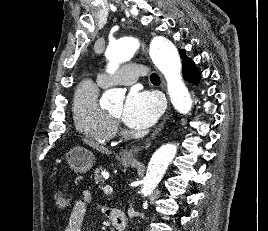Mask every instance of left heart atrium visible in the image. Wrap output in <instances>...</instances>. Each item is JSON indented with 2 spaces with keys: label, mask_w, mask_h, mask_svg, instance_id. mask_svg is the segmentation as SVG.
<instances>
[{
  "label": "left heart atrium",
  "mask_w": 268,
  "mask_h": 231,
  "mask_svg": "<svg viewBox=\"0 0 268 231\" xmlns=\"http://www.w3.org/2000/svg\"><path fill=\"white\" fill-rule=\"evenodd\" d=\"M162 113V104L152 92L132 89L125 100L122 118L131 128L144 129L153 125Z\"/></svg>",
  "instance_id": "39dd6f15"
}]
</instances>
